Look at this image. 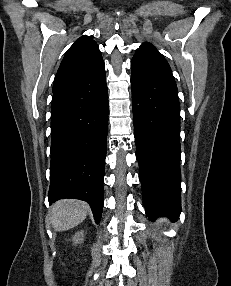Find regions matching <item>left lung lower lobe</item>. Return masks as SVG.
<instances>
[{"instance_id":"obj_1","label":"left lung lower lobe","mask_w":231,"mask_h":286,"mask_svg":"<svg viewBox=\"0 0 231 286\" xmlns=\"http://www.w3.org/2000/svg\"><path fill=\"white\" fill-rule=\"evenodd\" d=\"M136 158L148 217L176 220L180 196V105L171 70L131 61Z\"/></svg>"}]
</instances>
